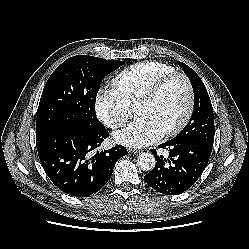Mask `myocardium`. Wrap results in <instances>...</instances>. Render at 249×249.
<instances>
[{
	"instance_id": "f54148a6",
	"label": "myocardium",
	"mask_w": 249,
	"mask_h": 249,
	"mask_svg": "<svg viewBox=\"0 0 249 249\" xmlns=\"http://www.w3.org/2000/svg\"><path fill=\"white\" fill-rule=\"evenodd\" d=\"M179 78L183 81L187 91V106L181 120L171 129L164 132L167 137L178 135L189 123L195 108V93L193 85L188 76L182 72H171L157 79L139 98L138 103L153 101L160 93L162 88L172 79Z\"/></svg>"
}]
</instances>
